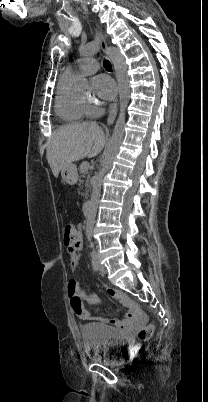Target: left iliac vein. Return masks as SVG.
I'll use <instances>...</instances> for the list:
<instances>
[{
  "mask_svg": "<svg viewBox=\"0 0 208 402\" xmlns=\"http://www.w3.org/2000/svg\"><path fill=\"white\" fill-rule=\"evenodd\" d=\"M96 259H97V261H98V265H99L100 271H101V272H104V271H105V268H104V266L100 263L99 257L96 256Z\"/></svg>",
  "mask_w": 208,
  "mask_h": 402,
  "instance_id": "left-iliac-vein-1",
  "label": "left iliac vein"
}]
</instances>
